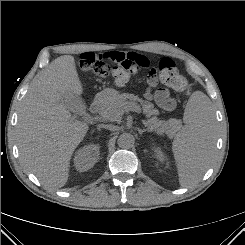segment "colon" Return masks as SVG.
Segmentation results:
<instances>
[{"label":"colon","instance_id":"5ec220e1","mask_svg":"<svg viewBox=\"0 0 245 245\" xmlns=\"http://www.w3.org/2000/svg\"><path fill=\"white\" fill-rule=\"evenodd\" d=\"M104 60L99 54L86 52L81 54L80 67L91 72L97 77L105 78L112 76L119 85L126 84L133 75L137 74L140 63L130 57H123L114 62ZM151 77H158L160 81L178 92L189 94L191 91L188 80L182 75L175 66V63L169 58H161L151 70Z\"/></svg>","mask_w":245,"mask_h":245}]
</instances>
